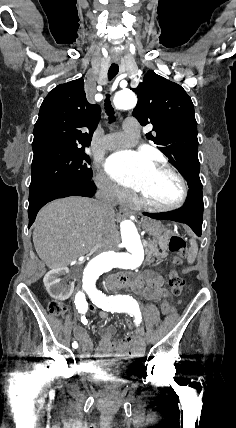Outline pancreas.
I'll list each match as a JSON object with an SVG mask.
<instances>
[{"label": "pancreas", "instance_id": "cf45deb5", "mask_svg": "<svg viewBox=\"0 0 236 428\" xmlns=\"http://www.w3.org/2000/svg\"><path fill=\"white\" fill-rule=\"evenodd\" d=\"M159 240L162 242L161 246H158L157 242H149L147 244V248H145L147 260H151L152 256H155V258H167V242L163 238H159Z\"/></svg>", "mask_w": 236, "mask_h": 428}]
</instances>
